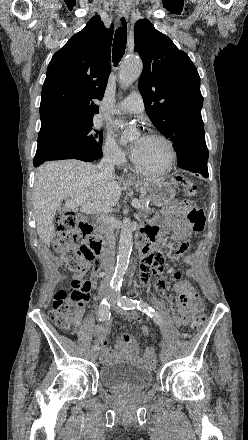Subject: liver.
Segmentation results:
<instances>
[{"instance_id":"liver-1","label":"liver","mask_w":248,"mask_h":440,"mask_svg":"<svg viewBox=\"0 0 248 440\" xmlns=\"http://www.w3.org/2000/svg\"><path fill=\"white\" fill-rule=\"evenodd\" d=\"M121 192L115 175H104L91 163L64 160L42 165L35 173L32 196L39 238L50 245L55 231L53 220L63 200L88 194L92 203L114 206L118 203Z\"/></svg>"}]
</instances>
